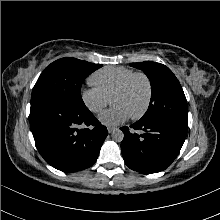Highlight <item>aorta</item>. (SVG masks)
<instances>
[{
    "label": "aorta",
    "mask_w": 220,
    "mask_h": 220,
    "mask_svg": "<svg viewBox=\"0 0 220 220\" xmlns=\"http://www.w3.org/2000/svg\"><path fill=\"white\" fill-rule=\"evenodd\" d=\"M124 138V133L120 129H115L112 132V139L116 142H121Z\"/></svg>",
    "instance_id": "obj_1"
}]
</instances>
